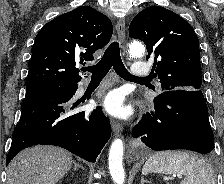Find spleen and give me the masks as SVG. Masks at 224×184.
<instances>
[{"label": "spleen", "instance_id": "spleen-1", "mask_svg": "<svg viewBox=\"0 0 224 184\" xmlns=\"http://www.w3.org/2000/svg\"><path fill=\"white\" fill-rule=\"evenodd\" d=\"M184 175L181 184H215L211 167L199 156L187 151H166L152 155L142 169L149 173Z\"/></svg>", "mask_w": 224, "mask_h": 184}]
</instances>
